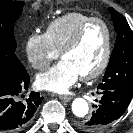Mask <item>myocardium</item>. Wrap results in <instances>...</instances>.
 Returning <instances> with one entry per match:
<instances>
[{"mask_svg": "<svg viewBox=\"0 0 133 133\" xmlns=\"http://www.w3.org/2000/svg\"><path fill=\"white\" fill-rule=\"evenodd\" d=\"M100 24L103 26L106 32V46L104 50V54L102 57V60L98 67L85 75L81 76V79L84 81H90L98 78L107 68L110 58H111V53H112V43H113V35H112V30L110 25L103 19L97 18V17H92L89 20L85 21L80 28L77 30V32L74 34V36L71 38V40L63 47L61 50V57H63L66 53L72 51L75 49L81 42L86 30L93 24Z\"/></svg>", "mask_w": 133, "mask_h": 133, "instance_id": "obj_1", "label": "myocardium"}]
</instances>
